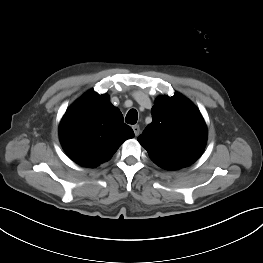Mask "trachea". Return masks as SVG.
<instances>
[{
  "instance_id": "3493384b",
  "label": "trachea",
  "mask_w": 263,
  "mask_h": 263,
  "mask_svg": "<svg viewBox=\"0 0 263 263\" xmlns=\"http://www.w3.org/2000/svg\"><path fill=\"white\" fill-rule=\"evenodd\" d=\"M138 119V113L135 109H131L129 110V112L126 115L125 121L128 124H136Z\"/></svg>"
}]
</instances>
